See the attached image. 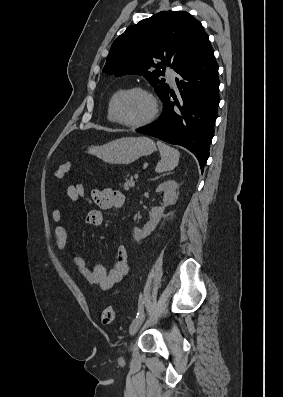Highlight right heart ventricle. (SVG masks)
I'll use <instances>...</instances> for the list:
<instances>
[{"mask_svg":"<svg viewBox=\"0 0 283 397\" xmlns=\"http://www.w3.org/2000/svg\"><path fill=\"white\" fill-rule=\"evenodd\" d=\"M123 89H124L123 87L117 88L116 90L113 91V93L111 94V96H110V98H109V101H108V108H107V116H108V119H109L111 122H115V119H114L113 113H112V102H113V99H114V97H115L120 91H122Z\"/></svg>","mask_w":283,"mask_h":397,"instance_id":"obj_1","label":"right heart ventricle"}]
</instances>
